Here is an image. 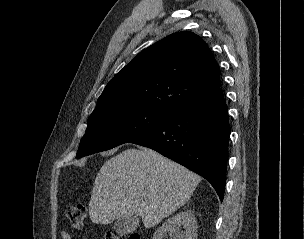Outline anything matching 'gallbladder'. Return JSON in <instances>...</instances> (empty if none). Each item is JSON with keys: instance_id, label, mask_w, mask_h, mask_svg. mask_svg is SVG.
Masks as SVG:
<instances>
[{"instance_id": "gallbladder-1", "label": "gallbladder", "mask_w": 304, "mask_h": 239, "mask_svg": "<svg viewBox=\"0 0 304 239\" xmlns=\"http://www.w3.org/2000/svg\"><path fill=\"white\" fill-rule=\"evenodd\" d=\"M139 226V218L136 216H123L114 223V230L120 235L133 232Z\"/></svg>"}]
</instances>
